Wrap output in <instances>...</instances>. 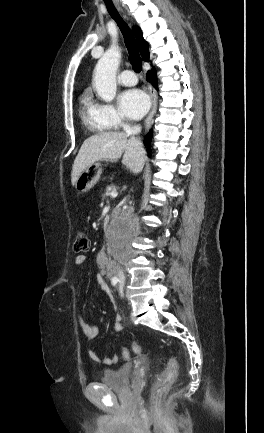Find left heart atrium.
Instances as JSON below:
<instances>
[{"instance_id": "left-heart-atrium-1", "label": "left heart atrium", "mask_w": 264, "mask_h": 433, "mask_svg": "<svg viewBox=\"0 0 264 433\" xmlns=\"http://www.w3.org/2000/svg\"><path fill=\"white\" fill-rule=\"evenodd\" d=\"M118 104L125 117L132 120H138L147 112L149 108V99L143 91L139 89H130L120 94Z\"/></svg>"}]
</instances>
